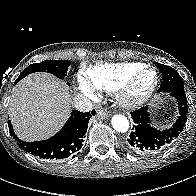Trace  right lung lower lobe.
Masks as SVG:
<instances>
[{
    "label": "right lung lower lobe",
    "mask_w": 196,
    "mask_h": 196,
    "mask_svg": "<svg viewBox=\"0 0 196 196\" xmlns=\"http://www.w3.org/2000/svg\"><path fill=\"white\" fill-rule=\"evenodd\" d=\"M92 115H95L94 110L91 113L74 110L65 126L56 135L44 141L31 143L24 142L15 135L10 121H8V126L11 136L20 148L43 159L57 160L67 158L81 149Z\"/></svg>",
    "instance_id": "1"
}]
</instances>
